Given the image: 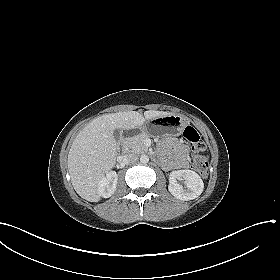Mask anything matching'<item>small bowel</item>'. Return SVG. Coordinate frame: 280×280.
I'll return each mask as SVG.
<instances>
[{
    "mask_svg": "<svg viewBox=\"0 0 280 280\" xmlns=\"http://www.w3.org/2000/svg\"><path fill=\"white\" fill-rule=\"evenodd\" d=\"M172 154L169 158H166L162 161V166L167 170H182L186 169L188 147L183 142L172 143ZM168 146V144H165Z\"/></svg>",
    "mask_w": 280,
    "mask_h": 280,
    "instance_id": "obj_1",
    "label": "small bowel"
}]
</instances>
